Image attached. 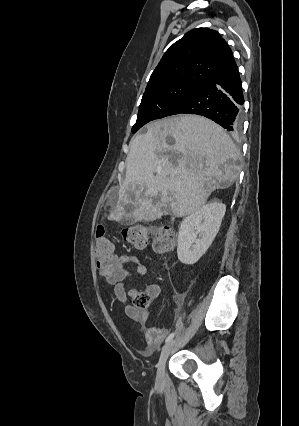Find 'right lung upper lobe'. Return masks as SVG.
<instances>
[{"label":"right lung upper lobe","instance_id":"obj_1","mask_svg":"<svg viewBox=\"0 0 299 426\" xmlns=\"http://www.w3.org/2000/svg\"><path fill=\"white\" fill-rule=\"evenodd\" d=\"M234 64L231 49L217 31L196 28L165 52L146 89L173 82L201 86Z\"/></svg>","mask_w":299,"mask_h":426}]
</instances>
